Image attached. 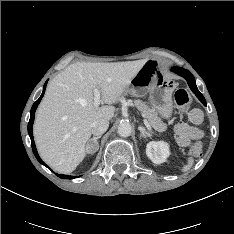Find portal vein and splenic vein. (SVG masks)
<instances>
[{
    "label": "portal vein and splenic vein",
    "mask_w": 234,
    "mask_h": 234,
    "mask_svg": "<svg viewBox=\"0 0 234 234\" xmlns=\"http://www.w3.org/2000/svg\"><path fill=\"white\" fill-rule=\"evenodd\" d=\"M100 97H101V93L98 89H94V105L95 106H99L100 104ZM144 124L146 125V127L148 128V130L151 131V126L150 124L148 123V121L146 119H144Z\"/></svg>",
    "instance_id": "1"
}]
</instances>
